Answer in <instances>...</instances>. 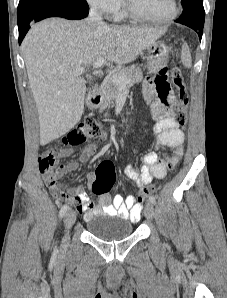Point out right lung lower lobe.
Segmentation results:
<instances>
[{
  "instance_id": "obj_1",
  "label": "right lung lower lobe",
  "mask_w": 227,
  "mask_h": 298,
  "mask_svg": "<svg viewBox=\"0 0 227 298\" xmlns=\"http://www.w3.org/2000/svg\"><path fill=\"white\" fill-rule=\"evenodd\" d=\"M88 9L73 7L63 3H46L39 5L28 12L18 16L19 44H21L31 23L48 17H63L79 20L87 17Z\"/></svg>"
}]
</instances>
